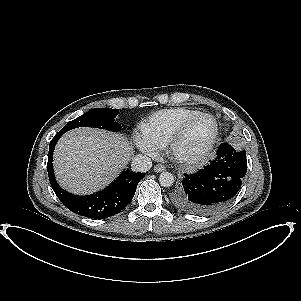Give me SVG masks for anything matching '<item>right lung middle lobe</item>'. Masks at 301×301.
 <instances>
[{
    "label": "right lung middle lobe",
    "mask_w": 301,
    "mask_h": 301,
    "mask_svg": "<svg viewBox=\"0 0 301 301\" xmlns=\"http://www.w3.org/2000/svg\"><path fill=\"white\" fill-rule=\"evenodd\" d=\"M117 114V109L95 108L68 122L59 132L65 133L73 128L84 126L117 131L121 128L120 124L114 122V117Z\"/></svg>",
    "instance_id": "dd1d6c3e"
}]
</instances>
